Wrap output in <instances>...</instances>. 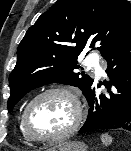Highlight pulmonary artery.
Wrapping results in <instances>:
<instances>
[{"label":"pulmonary artery","mask_w":131,"mask_h":151,"mask_svg":"<svg viewBox=\"0 0 131 151\" xmlns=\"http://www.w3.org/2000/svg\"><path fill=\"white\" fill-rule=\"evenodd\" d=\"M85 64L89 69H92L97 76H101L104 74V71L99 65V62L96 56L89 55L85 60Z\"/></svg>","instance_id":"obj_1"}]
</instances>
